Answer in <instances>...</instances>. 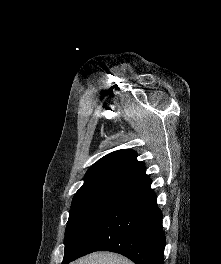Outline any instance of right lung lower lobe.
<instances>
[{"instance_id": "right-lung-lower-lobe-1", "label": "right lung lower lobe", "mask_w": 221, "mask_h": 264, "mask_svg": "<svg viewBox=\"0 0 221 264\" xmlns=\"http://www.w3.org/2000/svg\"><path fill=\"white\" fill-rule=\"evenodd\" d=\"M148 177L125 189L74 255L62 264L94 251L120 253L135 264H164L162 212Z\"/></svg>"}]
</instances>
